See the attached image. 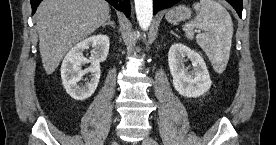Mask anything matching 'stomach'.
Returning a JSON list of instances; mask_svg holds the SVG:
<instances>
[{
    "label": "stomach",
    "instance_id": "1",
    "mask_svg": "<svg viewBox=\"0 0 276 145\" xmlns=\"http://www.w3.org/2000/svg\"><path fill=\"white\" fill-rule=\"evenodd\" d=\"M190 16L191 9L186 7L185 5H179L168 11V13L166 14V20L170 23L176 24L180 21L189 19Z\"/></svg>",
    "mask_w": 276,
    "mask_h": 145
}]
</instances>
